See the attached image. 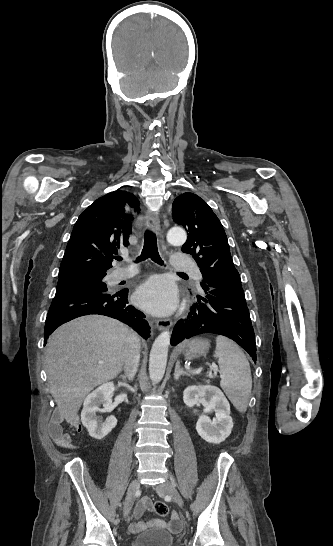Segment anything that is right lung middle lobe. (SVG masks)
Returning a JSON list of instances; mask_svg holds the SVG:
<instances>
[{
  "mask_svg": "<svg viewBox=\"0 0 333 546\" xmlns=\"http://www.w3.org/2000/svg\"><path fill=\"white\" fill-rule=\"evenodd\" d=\"M103 275H91L83 277H74L58 280L56 288V296L71 293V292H82V291H94L105 293L107 291V286L104 283Z\"/></svg>",
  "mask_w": 333,
  "mask_h": 546,
  "instance_id": "dd1d6c3e",
  "label": "right lung middle lobe"
}]
</instances>
